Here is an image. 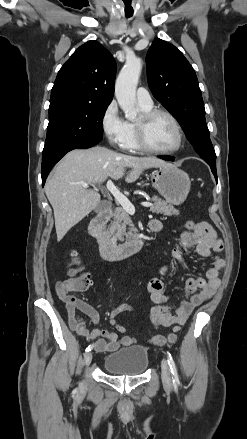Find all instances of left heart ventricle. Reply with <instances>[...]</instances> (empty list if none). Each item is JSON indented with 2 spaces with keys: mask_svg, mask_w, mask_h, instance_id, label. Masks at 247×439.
<instances>
[{
  "mask_svg": "<svg viewBox=\"0 0 247 439\" xmlns=\"http://www.w3.org/2000/svg\"><path fill=\"white\" fill-rule=\"evenodd\" d=\"M147 140L156 149L174 147L177 142V132L172 121L163 115L154 117L147 127Z\"/></svg>",
  "mask_w": 247,
  "mask_h": 439,
  "instance_id": "b2bd125f",
  "label": "left heart ventricle"
}]
</instances>
